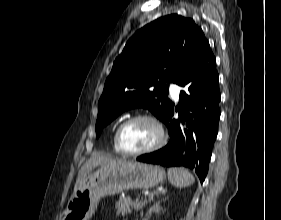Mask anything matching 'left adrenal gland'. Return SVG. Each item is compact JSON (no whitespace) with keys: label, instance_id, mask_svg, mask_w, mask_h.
I'll return each mask as SVG.
<instances>
[{"label":"left adrenal gland","instance_id":"left-adrenal-gland-1","mask_svg":"<svg viewBox=\"0 0 281 220\" xmlns=\"http://www.w3.org/2000/svg\"><path fill=\"white\" fill-rule=\"evenodd\" d=\"M162 193L165 194V191L162 192ZM166 199H167V198H165L164 200H166ZM160 203H161V201L156 202V203L149 209V211H148L147 214H146L147 218H150V217L152 216V213H153V212L158 213V212L161 210Z\"/></svg>","mask_w":281,"mask_h":220}]
</instances>
